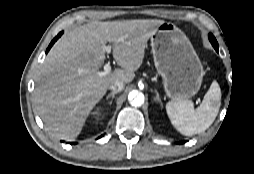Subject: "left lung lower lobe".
<instances>
[{"instance_id": "obj_1", "label": "left lung lower lobe", "mask_w": 254, "mask_h": 174, "mask_svg": "<svg viewBox=\"0 0 254 174\" xmlns=\"http://www.w3.org/2000/svg\"><path fill=\"white\" fill-rule=\"evenodd\" d=\"M215 50L218 51V47H215ZM180 144H181V142H180Z\"/></svg>"}]
</instances>
